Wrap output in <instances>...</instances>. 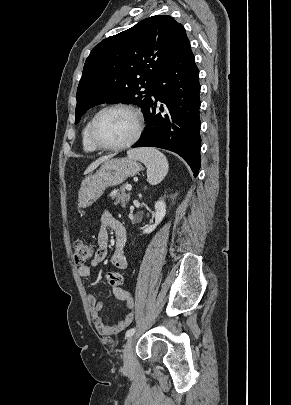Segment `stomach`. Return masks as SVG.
Here are the masks:
<instances>
[{"label":"stomach","mask_w":291,"mask_h":405,"mask_svg":"<svg viewBox=\"0 0 291 405\" xmlns=\"http://www.w3.org/2000/svg\"><path fill=\"white\" fill-rule=\"evenodd\" d=\"M140 170V164L129 157L105 161L95 174L82 181L78 194V207L91 206L103 195L106 188L121 184Z\"/></svg>","instance_id":"stomach-1"}]
</instances>
